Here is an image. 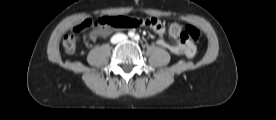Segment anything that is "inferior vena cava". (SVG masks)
Returning <instances> with one entry per match:
<instances>
[{"instance_id":"602c4592","label":"inferior vena cava","mask_w":276,"mask_h":120,"mask_svg":"<svg viewBox=\"0 0 276 120\" xmlns=\"http://www.w3.org/2000/svg\"><path fill=\"white\" fill-rule=\"evenodd\" d=\"M126 35L122 34V33H118L115 34L112 38H111V43L116 44L119 43L121 41H124L126 39Z\"/></svg>"}]
</instances>
